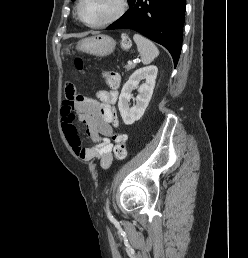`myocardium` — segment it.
<instances>
[{"label":"myocardium","instance_id":"obj_1","mask_svg":"<svg viewBox=\"0 0 248 258\" xmlns=\"http://www.w3.org/2000/svg\"><path fill=\"white\" fill-rule=\"evenodd\" d=\"M84 0H79L78 1V5H77V14L79 19L88 27L91 28H100V27H104L107 25H110L114 22H116L119 18L122 17V15L124 14L125 10H126V6H127V0H118V7L116 9V11L109 16L108 18H106L103 21L97 22V23H90L88 22L83 14H82V4H83Z\"/></svg>","mask_w":248,"mask_h":258}]
</instances>
